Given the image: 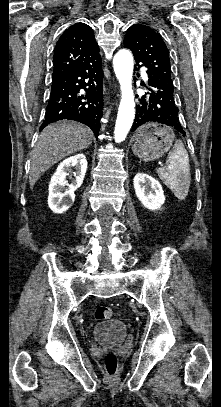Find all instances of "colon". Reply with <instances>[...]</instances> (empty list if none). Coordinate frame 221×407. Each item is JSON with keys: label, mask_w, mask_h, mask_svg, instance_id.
<instances>
[{"label": "colon", "mask_w": 221, "mask_h": 407, "mask_svg": "<svg viewBox=\"0 0 221 407\" xmlns=\"http://www.w3.org/2000/svg\"><path fill=\"white\" fill-rule=\"evenodd\" d=\"M94 317L97 321H107L112 319L113 311L108 306H98L95 309ZM117 360L113 352L105 354V370L107 375L113 376L116 373Z\"/></svg>", "instance_id": "1"}]
</instances>
